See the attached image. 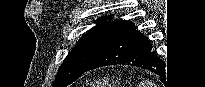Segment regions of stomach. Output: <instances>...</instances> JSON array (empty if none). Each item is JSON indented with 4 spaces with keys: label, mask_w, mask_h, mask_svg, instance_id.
<instances>
[{
    "label": "stomach",
    "mask_w": 205,
    "mask_h": 87,
    "mask_svg": "<svg viewBox=\"0 0 205 87\" xmlns=\"http://www.w3.org/2000/svg\"><path fill=\"white\" fill-rule=\"evenodd\" d=\"M111 85H113V87H119L120 82L119 81H114V82L110 83L109 80H103V81H99L97 83L96 87H111Z\"/></svg>",
    "instance_id": "stomach-1"
}]
</instances>
